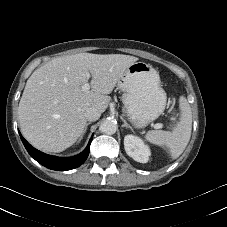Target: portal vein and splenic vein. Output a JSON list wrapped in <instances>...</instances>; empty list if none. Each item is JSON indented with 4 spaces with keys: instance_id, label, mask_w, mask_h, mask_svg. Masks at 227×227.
<instances>
[{
    "instance_id": "obj_1",
    "label": "portal vein and splenic vein",
    "mask_w": 227,
    "mask_h": 227,
    "mask_svg": "<svg viewBox=\"0 0 227 227\" xmlns=\"http://www.w3.org/2000/svg\"><path fill=\"white\" fill-rule=\"evenodd\" d=\"M86 76L89 78L90 77V74L87 72L86 73ZM90 89V84L89 83H85L83 86H82V90L83 91H88ZM155 129H160L163 127V124L162 123H156L154 124L153 126Z\"/></svg>"
}]
</instances>
